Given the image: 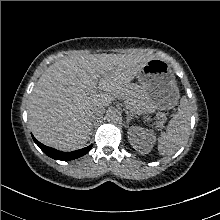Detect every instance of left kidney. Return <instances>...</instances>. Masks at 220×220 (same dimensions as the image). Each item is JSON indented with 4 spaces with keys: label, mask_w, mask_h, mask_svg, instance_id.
I'll return each instance as SVG.
<instances>
[{
    "label": "left kidney",
    "mask_w": 220,
    "mask_h": 220,
    "mask_svg": "<svg viewBox=\"0 0 220 220\" xmlns=\"http://www.w3.org/2000/svg\"><path fill=\"white\" fill-rule=\"evenodd\" d=\"M128 140L132 147L142 155L149 153L155 143L156 136L150 130L132 126L128 130Z\"/></svg>",
    "instance_id": "left-kidney-1"
}]
</instances>
